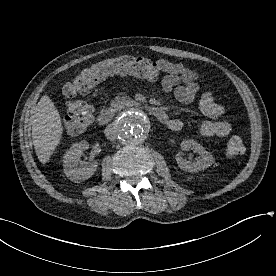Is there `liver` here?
<instances>
[{
	"label": "liver",
	"mask_w": 276,
	"mask_h": 276,
	"mask_svg": "<svg viewBox=\"0 0 276 276\" xmlns=\"http://www.w3.org/2000/svg\"><path fill=\"white\" fill-rule=\"evenodd\" d=\"M30 123L35 152L44 165L50 160L63 134L60 114L48 95L42 96L31 110Z\"/></svg>",
	"instance_id": "obj_1"
}]
</instances>
